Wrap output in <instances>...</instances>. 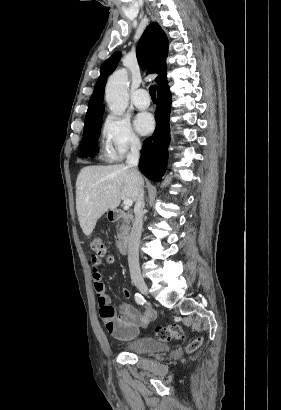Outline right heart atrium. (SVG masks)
Masks as SVG:
<instances>
[{
	"mask_svg": "<svg viewBox=\"0 0 281 410\" xmlns=\"http://www.w3.org/2000/svg\"><path fill=\"white\" fill-rule=\"evenodd\" d=\"M101 146L107 159L118 161L128 152L140 149L141 140L126 118L109 114L101 126Z\"/></svg>",
	"mask_w": 281,
	"mask_h": 410,
	"instance_id": "d8ad5b80",
	"label": "right heart atrium"
}]
</instances>
